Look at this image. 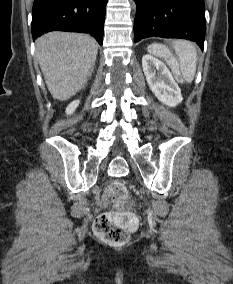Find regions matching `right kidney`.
<instances>
[{"instance_id": "right-kidney-1", "label": "right kidney", "mask_w": 233, "mask_h": 284, "mask_svg": "<svg viewBox=\"0 0 233 284\" xmlns=\"http://www.w3.org/2000/svg\"><path fill=\"white\" fill-rule=\"evenodd\" d=\"M80 101L79 100H75L73 102H71L68 107L66 108V114L71 115L76 108L78 107Z\"/></svg>"}]
</instances>
